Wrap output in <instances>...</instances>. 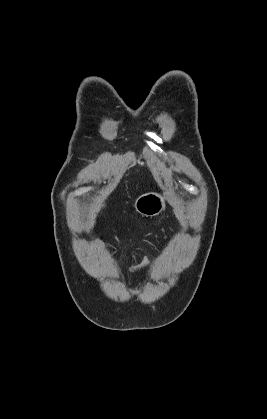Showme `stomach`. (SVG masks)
Masks as SVG:
<instances>
[{"label": "stomach", "mask_w": 267, "mask_h": 419, "mask_svg": "<svg viewBox=\"0 0 267 419\" xmlns=\"http://www.w3.org/2000/svg\"><path fill=\"white\" fill-rule=\"evenodd\" d=\"M134 207L142 216L154 217L165 209V197L154 192L145 193L135 200Z\"/></svg>", "instance_id": "0dacf381"}]
</instances>
